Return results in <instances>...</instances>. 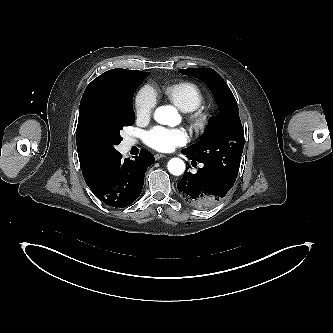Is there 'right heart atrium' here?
Masks as SVG:
<instances>
[{"instance_id": "d8ad5b80", "label": "right heart atrium", "mask_w": 333, "mask_h": 333, "mask_svg": "<svg viewBox=\"0 0 333 333\" xmlns=\"http://www.w3.org/2000/svg\"><path fill=\"white\" fill-rule=\"evenodd\" d=\"M157 103L156 95L148 87L142 88L135 99V112L138 118L150 117Z\"/></svg>"}]
</instances>
